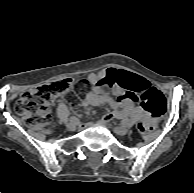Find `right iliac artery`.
Here are the masks:
<instances>
[{
	"instance_id": "82829eb1",
	"label": "right iliac artery",
	"mask_w": 194,
	"mask_h": 193,
	"mask_svg": "<svg viewBox=\"0 0 194 193\" xmlns=\"http://www.w3.org/2000/svg\"><path fill=\"white\" fill-rule=\"evenodd\" d=\"M69 120H70V122H78L79 121L78 118L75 116H71Z\"/></svg>"
}]
</instances>
